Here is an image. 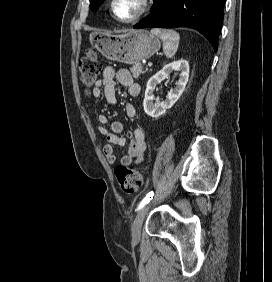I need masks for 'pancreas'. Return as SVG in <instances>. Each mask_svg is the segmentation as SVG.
<instances>
[{"mask_svg":"<svg viewBox=\"0 0 272 282\" xmlns=\"http://www.w3.org/2000/svg\"><path fill=\"white\" fill-rule=\"evenodd\" d=\"M130 71L134 78H138L141 74H144L147 69H144L140 63H137L130 68Z\"/></svg>","mask_w":272,"mask_h":282,"instance_id":"pancreas-1","label":"pancreas"}]
</instances>
